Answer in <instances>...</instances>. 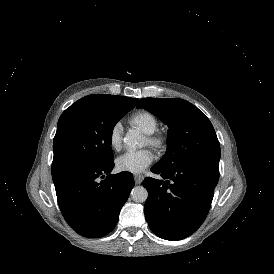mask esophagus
<instances>
[{
	"instance_id": "34e87169",
	"label": "esophagus",
	"mask_w": 274,
	"mask_h": 274,
	"mask_svg": "<svg viewBox=\"0 0 274 274\" xmlns=\"http://www.w3.org/2000/svg\"><path fill=\"white\" fill-rule=\"evenodd\" d=\"M144 176L141 174H136L134 175V180L136 184H141V182L143 181Z\"/></svg>"
}]
</instances>
